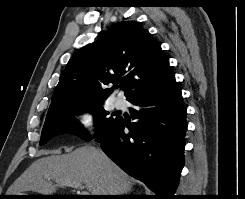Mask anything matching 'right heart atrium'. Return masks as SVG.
<instances>
[{
    "mask_svg": "<svg viewBox=\"0 0 245 199\" xmlns=\"http://www.w3.org/2000/svg\"><path fill=\"white\" fill-rule=\"evenodd\" d=\"M78 124L84 129H90L95 124V114L92 111H83L78 117Z\"/></svg>",
    "mask_w": 245,
    "mask_h": 199,
    "instance_id": "right-heart-atrium-1",
    "label": "right heart atrium"
}]
</instances>
